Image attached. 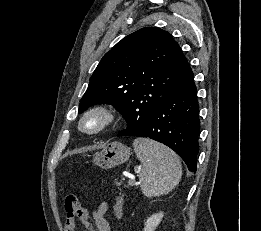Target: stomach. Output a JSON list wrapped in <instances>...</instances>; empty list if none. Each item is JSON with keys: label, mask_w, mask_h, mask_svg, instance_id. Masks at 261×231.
<instances>
[{"label": "stomach", "mask_w": 261, "mask_h": 231, "mask_svg": "<svg viewBox=\"0 0 261 231\" xmlns=\"http://www.w3.org/2000/svg\"><path fill=\"white\" fill-rule=\"evenodd\" d=\"M130 148L120 142L107 144L93 158V163L103 169H109L125 163L130 157Z\"/></svg>", "instance_id": "obj_1"}]
</instances>
